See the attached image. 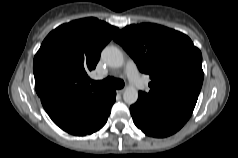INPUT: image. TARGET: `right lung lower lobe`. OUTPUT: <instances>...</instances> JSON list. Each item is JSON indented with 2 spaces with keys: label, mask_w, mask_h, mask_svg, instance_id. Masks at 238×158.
Masks as SVG:
<instances>
[{
  "label": "right lung lower lobe",
  "mask_w": 238,
  "mask_h": 158,
  "mask_svg": "<svg viewBox=\"0 0 238 158\" xmlns=\"http://www.w3.org/2000/svg\"><path fill=\"white\" fill-rule=\"evenodd\" d=\"M115 97L116 92L108 89L90 95H49L41 98V102L58 127L70 134L82 136L104 126Z\"/></svg>",
  "instance_id": "obj_1"
}]
</instances>
